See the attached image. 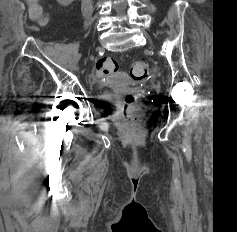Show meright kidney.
I'll return each mask as SVG.
<instances>
[{"label": "right kidney", "mask_w": 237, "mask_h": 232, "mask_svg": "<svg viewBox=\"0 0 237 232\" xmlns=\"http://www.w3.org/2000/svg\"><path fill=\"white\" fill-rule=\"evenodd\" d=\"M58 3L62 6H68L70 5L74 0H57Z\"/></svg>", "instance_id": "right-kidney-1"}]
</instances>
